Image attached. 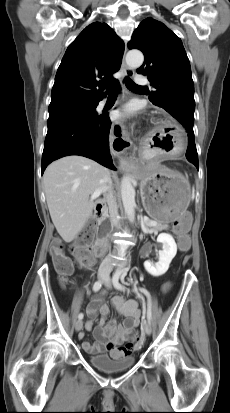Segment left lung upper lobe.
Here are the masks:
<instances>
[{
  "label": "left lung upper lobe",
  "mask_w": 230,
  "mask_h": 413,
  "mask_svg": "<svg viewBox=\"0 0 230 413\" xmlns=\"http://www.w3.org/2000/svg\"><path fill=\"white\" fill-rule=\"evenodd\" d=\"M128 48L144 54V63L137 73L147 75L154 88L149 100L176 118L186 132L193 129L194 83L180 38L162 22L149 17L134 31Z\"/></svg>",
  "instance_id": "1"
}]
</instances>
